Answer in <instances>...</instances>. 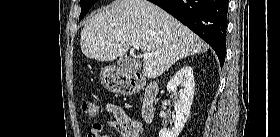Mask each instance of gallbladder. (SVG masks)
Listing matches in <instances>:
<instances>
[{"label":"gallbladder","instance_id":"1","mask_svg":"<svg viewBox=\"0 0 280 137\" xmlns=\"http://www.w3.org/2000/svg\"><path fill=\"white\" fill-rule=\"evenodd\" d=\"M116 62L121 69L127 72H134L140 68V64L130 57H121Z\"/></svg>","mask_w":280,"mask_h":137}]
</instances>
